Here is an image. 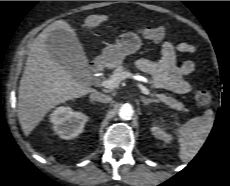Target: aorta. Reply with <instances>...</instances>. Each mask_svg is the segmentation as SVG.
<instances>
[{"label":"aorta","instance_id":"762f6f07","mask_svg":"<svg viewBox=\"0 0 230 186\" xmlns=\"http://www.w3.org/2000/svg\"><path fill=\"white\" fill-rule=\"evenodd\" d=\"M133 108L130 104H124L119 109V117L122 120H130L133 116Z\"/></svg>","mask_w":230,"mask_h":186}]
</instances>
